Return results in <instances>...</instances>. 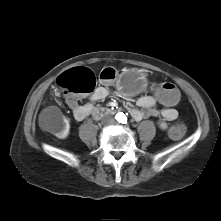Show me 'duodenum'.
Masks as SVG:
<instances>
[{"label": "duodenum", "mask_w": 221, "mask_h": 221, "mask_svg": "<svg viewBox=\"0 0 221 221\" xmlns=\"http://www.w3.org/2000/svg\"><path fill=\"white\" fill-rule=\"evenodd\" d=\"M113 112V110L109 109V108H97L94 112H93V117L95 119H99L104 115H108L111 114Z\"/></svg>", "instance_id": "1"}]
</instances>
